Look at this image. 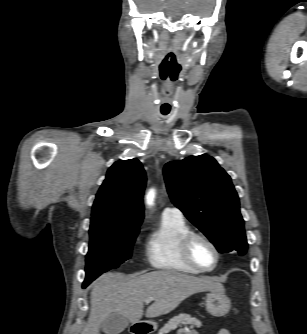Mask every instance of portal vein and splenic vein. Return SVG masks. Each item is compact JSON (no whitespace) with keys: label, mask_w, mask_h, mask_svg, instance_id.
I'll use <instances>...</instances> for the list:
<instances>
[{"label":"portal vein and splenic vein","mask_w":307,"mask_h":334,"mask_svg":"<svg viewBox=\"0 0 307 334\" xmlns=\"http://www.w3.org/2000/svg\"><path fill=\"white\" fill-rule=\"evenodd\" d=\"M153 300H154L153 298L146 299V300H145V303L148 304V303H150V302L153 301Z\"/></svg>","instance_id":"portal-vein-and-splenic-vein-1"}]
</instances>
